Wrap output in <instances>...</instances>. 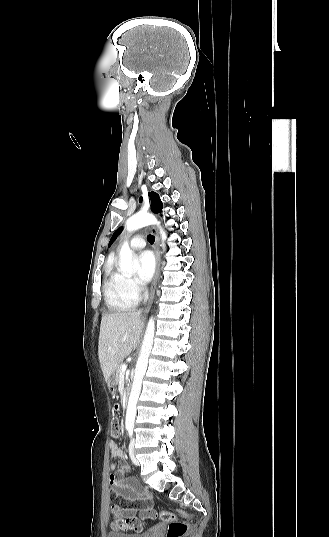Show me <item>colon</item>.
I'll list each match as a JSON object with an SVG mask.
<instances>
[{
	"instance_id": "obj_1",
	"label": "colon",
	"mask_w": 329,
	"mask_h": 537,
	"mask_svg": "<svg viewBox=\"0 0 329 537\" xmlns=\"http://www.w3.org/2000/svg\"><path fill=\"white\" fill-rule=\"evenodd\" d=\"M111 435L113 438H119L120 436V425L118 420L115 418L112 422ZM112 513L115 516L116 520L119 523H116V526H126L128 524V519L121 516V506H111ZM187 514L181 509L175 511H162L160 513V518L163 522L168 524L167 528V537H184L188 531V523L185 521ZM123 531H126V528H123Z\"/></svg>"
}]
</instances>
